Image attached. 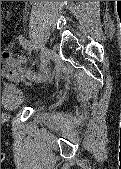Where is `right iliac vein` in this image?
<instances>
[{
    "instance_id": "1",
    "label": "right iliac vein",
    "mask_w": 121,
    "mask_h": 169,
    "mask_svg": "<svg viewBox=\"0 0 121 169\" xmlns=\"http://www.w3.org/2000/svg\"><path fill=\"white\" fill-rule=\"evenodd\" d=\"M50 56H51V52L48 48L43 47L41 50V71L44 72L46 70V67L49 63L50 60ZM43 77H47L46 74H41ZM44 81V79L42 80ZM42 81H38L37 82H42Z\"/></svg>"
}]
</instances>
